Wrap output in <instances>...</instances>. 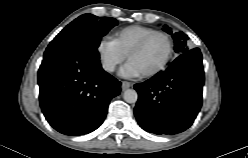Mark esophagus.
<instances>
[{
	"mask_svg": "<svg viewBox=\"0 0 248 158\" xmlns=\"http://www.w3.org/2000/svg\"><path fill=\"white\" fill-rule=\"evenodd\" d=\"M131 86H132V84L130 82H127V81H123L122 85H121L123 91L130 88Z\"/></svg>",
	"mask_w": 248,
	"mask_h": 158,
	"instance_id": "34e87169",
	"label": "esophagus"
}]
</instances>
